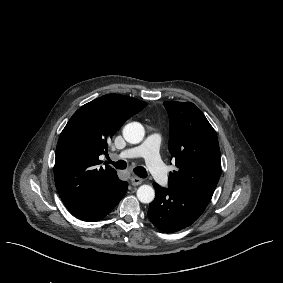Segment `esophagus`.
<instances>
[{"mask_svg":"<svg viewBox=\"0 0 283 283\" xmlns=\"http://www.w3.org/2000/svg\"><path fill=\"white\" fill-rule=\"evenodd\" d=\"M143 182V180L141 179V178H139V177H132L131 178V183L133 184V185H140L141 183Z\"/></svg>","mask_w":283,"mask_h":283,"instance_id":"1","label":"esophagus"}]
</instances>
